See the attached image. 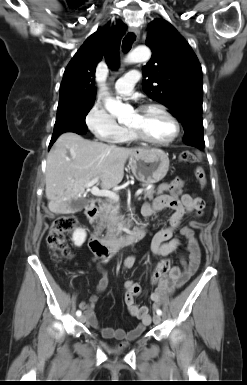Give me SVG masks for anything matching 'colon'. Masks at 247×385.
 <instances>
[{"label": "colon", "instance_id": "obj_1", "mask_svg": "<svg viewBox=\"0 0 247 385\" xmlns=\"http://www.w3.org/2000/svg\"><path fill=\"white\" fill-rule=\"evenodd\" d=\"M180 161L186 164H192L197 161V156L191 151H183L180 154ZM195 176L199 184L204 187L206 184L205 172L197 167L195 169ZM77 225V219L75 216H61L57 218L48 233L47 244L53 251L55 260L67 259L70 257V250L66 243V234L71 232ZM169 270V263L164 261L158 264L157 273H167ZM131 289L137 292L136 286L132 285Z\"/></svg>", "mask_w": 247, "mask_h": 385}]
</instances>
